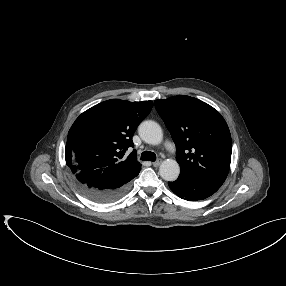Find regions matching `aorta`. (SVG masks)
Masks as SVG:
<instances>
[{"mask_svg": "<svg viewBox=\"0 0 286 286\" xmlns=\"http://www.w3.org/2000/svg\"><path fill=\"white\" fill-rule=\"evenodd\" d=\"M142 140L151 145L162 142L163 133L160 125L152 120L143 121L138 128ZM160 176L166 181H175L180 174L179 164L172 159L164 160L159 168Z\"/></svg>", "mask_w": 286, "mask_h": 286, "instance_id": "obj_1", "label": "aorta"}]
</instances>
